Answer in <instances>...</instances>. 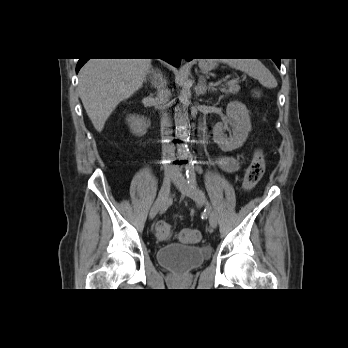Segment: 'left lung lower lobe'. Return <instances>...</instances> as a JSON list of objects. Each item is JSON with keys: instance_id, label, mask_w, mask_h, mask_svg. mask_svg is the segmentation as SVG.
I'll return each instance as SVG.
<instances>
[{"instance_id": "left-lung-lower-lobe-1", "label": "left lung lower lobe", "mask_w": 348, "mask_h": 348, "mask_svg": "<svg viewBox=\"0 0 348 348\" xmlns=\"http://www.w3.org/2000/svg\"><path fill=\"white\" fill-rule=\"evenodd\" d=\"M188 61L191 59H187ZM274 62L276 63V65L278 66V68H280V59L274 60Z\"/></svg>"}]
</instances>
